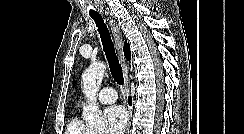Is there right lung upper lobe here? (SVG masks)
Here are the masks:
<instances>
[{"mask_svg":"<svg viewBox=\"0 0 244 134\" xmlns=\"http://www.w3.org/2000/svg\"><path fill=\"white\" fill-rule=\"evenodd\" d=\"M124 55L127 60H130L131 52H130L129 44L127 42L124 43Z\"/></svg>","mask_w":244,"mask_h":134,"instance_id":"right-lung-upper-lobe-1","label":"right lung upper lobe"}]
</instances>
